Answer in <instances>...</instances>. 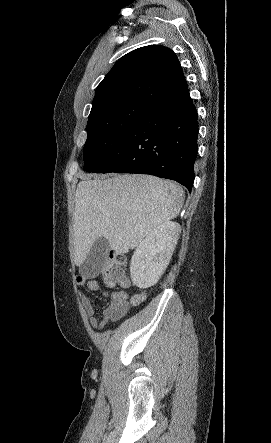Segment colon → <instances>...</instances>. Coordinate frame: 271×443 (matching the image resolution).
Returning <instances> with one entry per match:
<instances>
[{"mask_svg":"<svg viewBox=\"0 0 271 443\" xmlns=\"http://www.w3.org/2000/svg\"><path fill=\"white\" fill-rule=\"evenodd\" d=\"M125 259L120 254H110L102 269V277L109 286H128L129 281L124 270Z\"/></svg>","mask_w":271,"mask_h":443,"instance_id":"colon-1","label":"colon"}]
</instances>
